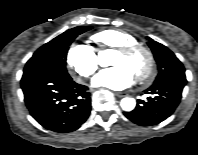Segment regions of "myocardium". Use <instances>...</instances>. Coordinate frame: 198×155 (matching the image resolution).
<instances>
[{
    "instance_id": "1",
    "label": "myocardium",
    "mask_w": 198,
    "mask_h": 155,
    "mask_svg": "<svg viewBox=\"0 0 198 155\" xmlns=\"http://www.w3.org/2000/svg\"><path fill=\"white\" fill-rule=\"evenodd\" d=\"M116 51L124 55H131L135 52H142L147 59V63L144 70L139 72L136 77L140 82H148L152 78L155 70V57L153 52L148 47L135 42L117 47Z\"/></svg>"
}]
</instances>
